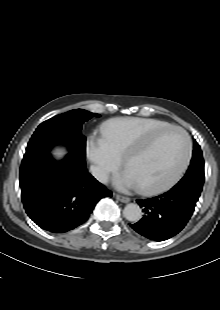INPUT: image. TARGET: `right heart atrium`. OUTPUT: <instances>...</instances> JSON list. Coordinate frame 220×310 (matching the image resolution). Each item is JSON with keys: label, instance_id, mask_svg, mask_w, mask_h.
<instances>
[{"label": "right heart atrium", "instance_id": "right-heart-atrium-1", "mask_svg": "<svg viewBox=\"0 0 220 310\" xmlns=\"http://www.w3.org/2000/svg\"><path fill=\"white\" fill-rule=\"evenodd\" d=\"M96 161L103 166L107 171L114 172L115 171V164L108 156L104 154L97 153L95 154Z\"/></svg>", "mask_w": 220, "mask_h": 310}]
</instances>
